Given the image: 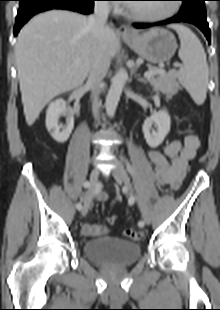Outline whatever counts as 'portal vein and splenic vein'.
<instances>
[{"label": "portal vein and splenic vein", "instance_id": "1", "mask_svg": "<svg viewBox=\"0 0 220 310\" xmlns=\"http://www.w3.org/2000/svg\"><path fill=\"white\" fill-rule=\"evenodd\" d=\"M174 66L178 67L179 64L175 63ZM163 73H164V70H162V69H157L156 71H147V72L144 73V77L145 78H150V77H152L155 74H163Z\"/></svg>", "mask_w": 220, "mask_h": 310}]
</instances>
